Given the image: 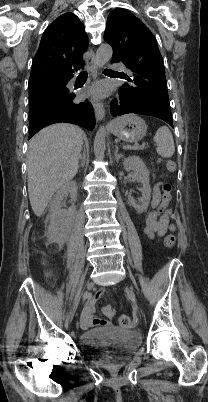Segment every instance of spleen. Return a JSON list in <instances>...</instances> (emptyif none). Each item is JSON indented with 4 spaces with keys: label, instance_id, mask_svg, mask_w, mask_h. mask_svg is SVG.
<instances>
[{
    "label": "spleen",
    "instance_id": "1",
    "mask_svg": "<svg viewBox=\"0 0 208 402\" xmlns=\"http://www.w3.org/2000/svg\"><path fill=\"white\" fill-rule=\"evenodd\" d=\"M154 142H156V152L162 158H171L175 152L173 136L167 128V126H162L157 130L154 136Z\"/></svg>",
    "mask_w": 208,
    "mask_h": 402
}]
</instances>
